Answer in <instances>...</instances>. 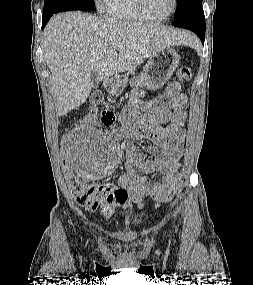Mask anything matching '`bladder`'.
Segmentation results:
<instances>
[{
	"label": "bladder",
	"mask_w": 253,
	"mask_h": 285,
	"mask_svg": "<svg viewBox=\"0 0 253 285\" xmlns=\"http://www.w3.org/2000/svg\"><path fill=\"white\" fill-rule=\"evenodd\" d=\"M146 220L141 214H131L125 217L121 222V229L123 231L133 232L144 226Z\"/></svg>",
	"instance_id": "bladder-1"
}]
</instances>
